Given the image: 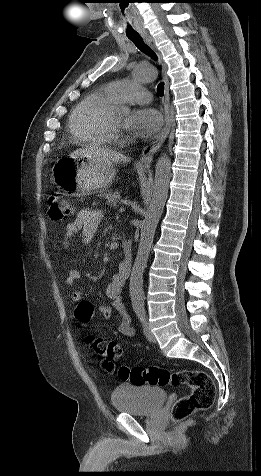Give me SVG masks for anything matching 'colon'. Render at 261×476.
Instances as JSON below:
<instances>
[{"mask_svg": "<svg viewBox=\"0 0 261 476\" xmlns=\"http://www.w3.org/2000/svg\"><path fill=\"white\" fill-rule=\"evenodd\" d=\"M48 215L53 220H63L71 215L73 208L70 202L59 192L48 196ZM94 315V306L90 301L78 303L75 317L80 326L86 327ZM85 342L88 347L103 359L104 365L111 368L113 363L122 355L123 349L116 342H107L93 335H87ZM119 375L136 385L155 386H188L191 393L179 398L171 409L172 419L183 421L199 410L212 406L216 388L211 377L202 370L182 369L171 371L157 366L121 367Z\"/></svg>", "mask_w": 261, "mask_h": 476, "instance_id": "5ec220e1", "label": "colon"}]
</instances>
